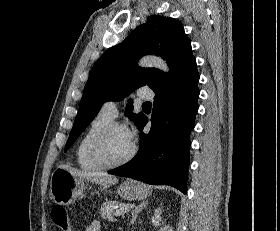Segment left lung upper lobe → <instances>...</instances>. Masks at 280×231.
Returning a JSON list of instances; mask_svg holds the SVG:
<instances>
[{
    "label": "left lung upper lobe",
    "mask_w": 280,
    "mask_h": 231,
    "mask_svg": "<svg viewBox=\"0 0 280 231\" xmlns=\"http://www.w3.org/2000/svg\"><path fill=\"white\" fill-rule=\"evenodd\" d=\"M147 54L163 57L170 73L155 68H138V59ZM194 69L196 60L183 25L170 17L150 16L145 24L133 30L123 42L108 49L94 64L64 151L90 124L105 102L120 100L134 88L144 85L156 92ZM128 102L125 115L136 124L142 113H132V100Z\"/></svg>",
    "instance_id": "5c2ea615"
}]
</instances>
